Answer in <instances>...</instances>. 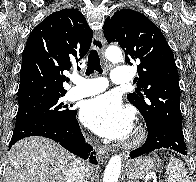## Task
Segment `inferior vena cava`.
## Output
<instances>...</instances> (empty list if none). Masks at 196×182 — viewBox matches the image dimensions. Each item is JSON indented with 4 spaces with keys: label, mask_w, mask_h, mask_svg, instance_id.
Returning <instances> with one entry per match:
<instances>
[{
    "label": "inferior vena cava",
    "mask_w": 196,
    "mask_h": 182,
    "mask_svg": "<svg viewBox=\"0 0 196 182\" xmlns=\"http://www.w3.org/2000/svg\"><path fill=\"white\" fill-rule=\"evenodd\" d=\"M85 173V163L79 159H76L70 166L68 182H85Z\"/></svg>",
    "instance_id": "1"
}]
</instances>
